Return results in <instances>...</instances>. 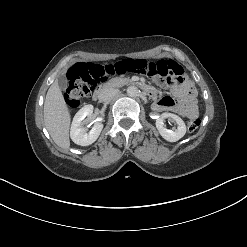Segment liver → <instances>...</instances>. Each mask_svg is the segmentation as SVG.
Segmentation results:
<instances>
[{"label":"liver","instance_id":"liver-1","mask_svg":"<svg viewBox=\"0 0 247 247\" xmlns=\"http://www.w3.org/2000/svg\"><path fill=\"white\" fill-rule=\"evenodd\" d=\"M70 113L65 104L58 82L55 81L46 94L44 122L54 142L62 149H69Z\"/></svg>","mask_w":247,"mask_h":247}]
</instances>
